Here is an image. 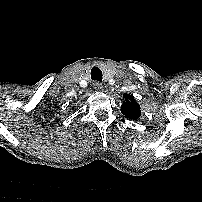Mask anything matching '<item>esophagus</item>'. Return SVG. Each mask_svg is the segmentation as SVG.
Here are the masks:
<instances>
[{"label":"esophagus","instance_id":"obj_1","mask_svg":"<svg viewBox=\"0 0 202 202\" xmlns=\"http://www.w3.org/2000/svg\"><path fill=\"white\" fill-rule=\"evenodd\" d=\"M93 87L96 91H100L103 88V85L100 82H94Z\"/></svg>","mask_w":202,"mask_h":202}]
</instances>
